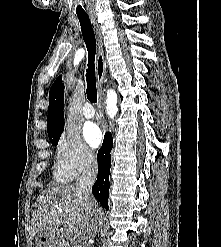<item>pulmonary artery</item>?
<instances>
[{
  "label": "pulmonary artery",
  "mask_w": 221,
  "mask_h": 247,
  "mask_svg": "<svg viewBox=\"0 0 221 247\" xmlns=\"http://www.w3.org/2000/svg\"><path fill=\"white\" fill-rule=\"evenodd\" d=\"M83 115L85 118H93L95 115V111L93 109V107L89 104L86 103L83 107Z\"/></svg>",
  "instance_id": "pulmonary-artery-1"
}]
</instances>
